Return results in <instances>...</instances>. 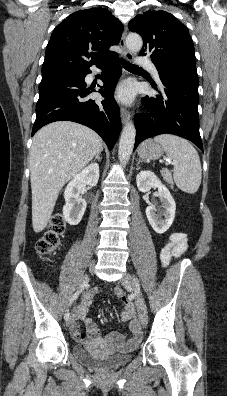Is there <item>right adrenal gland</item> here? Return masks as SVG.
Returning <instances> with one entry per match:
<instances>
[{"instance_id":"1","label":"right adrenal gland","mask_w":227,"mask_h":396,"mask_svg":"<svg viewBox=\"0 0 227 396\" xmlns=\"http://www.w3.org/2000/svg\"><path fill=\"white\" fill-rule=\"evenodd\" d=\"M100 153H101V152H100ZM100 153H98V154L95 156V159H98V161L101 160Z\"/></svg>"}]
</instances>
